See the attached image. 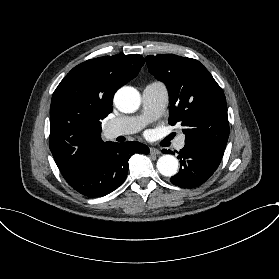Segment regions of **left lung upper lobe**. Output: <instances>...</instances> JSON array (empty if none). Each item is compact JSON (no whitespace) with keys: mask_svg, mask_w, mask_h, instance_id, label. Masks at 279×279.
Here are the masks:
<instances>
[{"mask_svg":"<svg viewBox=\"0 0 279 279\" xmlns=\"http://www.w3.org/2000/svg\"><path fill=\"white\" fill-rule=\"evenodd\" d=\"M146 62L169 90V124L184 127L185 143L224 149L229 137L226 98L210 72L199 61L174 54L150 55Z\"/></svg>","mask_w":279,"mask_h":279,"instance_id":"5c2ea615","label":"left lung upper lobe"}]
</instances>
